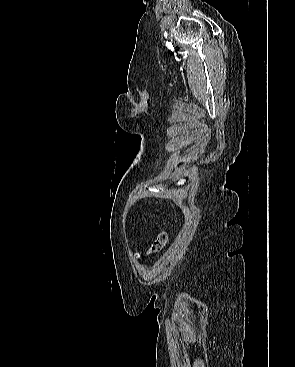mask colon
I'll return each instance as SVG.
<instances>
[{
  "mask_svg": "<svg viewBox=\"0 0 295 367\" xmlns=\"http://www.w3.org/2000/svg\"><path fill=\"white\" fill-rule=\"evenodd\" d=\"M167 240V233L165 231L160 232L150 247V253L159 252L165 246Z\"/></svg>",
  "mask_w": 295,
  "mask_h": 367,
  "instance_id": "1",
  "label": "colon"
}]
</instances>
